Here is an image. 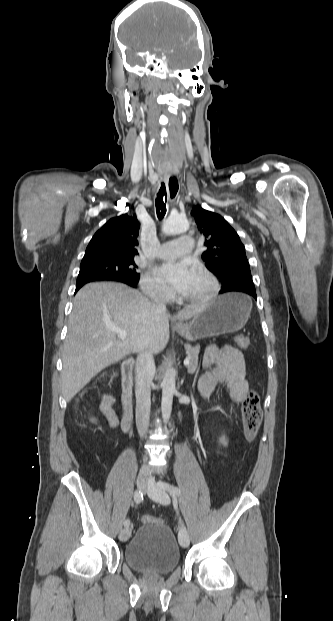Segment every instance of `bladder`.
<instances>
[{
    "label": "bladder",
    "instance_id": "31cf9c89",
    "mask_svg": "<svg viewBox=\"0 0 333 621\" xmlns=\"http://www.w3.org/2000/svg\"><path fill=\"white\" fill-rule=\"evenodd\" d=\"M124 561L134 570L157 575L173 571L180 561V550L173 531L166 524L145 523L125 545Z\"/></svg>",
    "mask_w": 333,
    "mask_h": 621
}]
</instances>
